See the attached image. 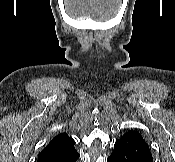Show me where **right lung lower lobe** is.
<instances>
[{"label": "right lung lower lobe", "mask_w": 175, "mask_h": 162, "mask_svg": "<svg viewBox=\"0 0 175 162\" xmlns=\"http://www.w3.org/2000/svg\"><path fill=\"white\" fill-rule=\"evenodd\" d=\"M79 154L75 148L55 152L42 153L37 162H76Z\"/></svg>", "instance_id": "1"}]
</instances>
